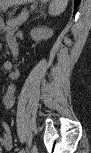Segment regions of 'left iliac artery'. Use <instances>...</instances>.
<instances>
[{
	"label": "left iliac artery",
	"mask_w": 91,
	"mask_h": 153,
	"mask_svg": "<svg viewBox=\"0 0 91 153\" xmlns=\"http://www.w3.org/2000/svg\"><path fill=\"white\" fill-rule=\"evenodd\" d=\"M25 150H27V148L22 149L21 151H19V153H26V151H25Z\"/></svg>",
	"instance_id": "1"
}]
</instances>
